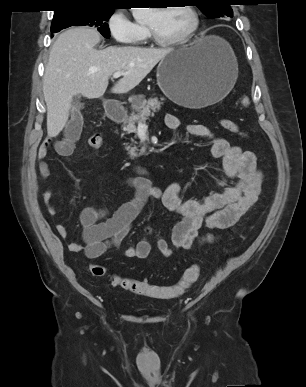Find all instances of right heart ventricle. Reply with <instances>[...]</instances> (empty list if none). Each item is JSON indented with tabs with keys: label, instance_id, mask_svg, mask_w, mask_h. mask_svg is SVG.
<instances>
[{
	"label": "right heart ventricle",
	"instance_id": "1",
	"mask_svg": "<svg viewBox=\"0 0 306 387\" xmlns=\"http://www.w3.org/2000/svg\"><path fill=\"white\" fill-rule=\"evenodd\" d=\"M140 26H141V25H140ZM141 28H142L143 31H144L143 37H142V39H141V41H142V40L146 39V37H147V30H146V28H145L144 26H141Z\"/></svg>",
	"mask_w": 306,
	"mask_h": 387
}]
</instances>
